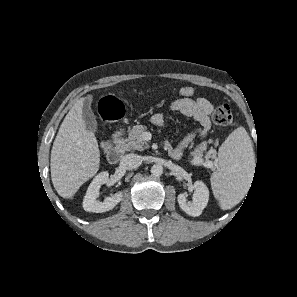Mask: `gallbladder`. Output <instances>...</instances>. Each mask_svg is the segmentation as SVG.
<instances>
[{"label": "gallbladder", "mask_w": 297, "mask_h": 297, "mask_svg": "<svg viewBox=\"0 0 297 297\" xmlns=\"http://www.w3.org/2000/svg\"><path fill=\"white\" fill-rule=\"evenodd\" d=\"M92 98H87L83 105V120L85 123L86 128L91 131L95 132L98 128V121L97 118L91 109Z\"/></svg>", "instance_id": "bac80fb5"}]
</instances>
